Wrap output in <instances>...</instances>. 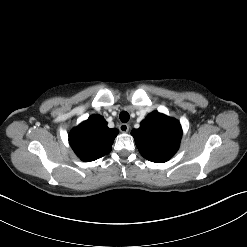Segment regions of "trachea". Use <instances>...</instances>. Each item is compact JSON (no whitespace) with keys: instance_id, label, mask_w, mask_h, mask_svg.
I'll list each match as a JSON object with an SVG mask.
<instances>
[{"instance_id":"obj_1","label":"trachea","mask_w":247,"mask_h":247,"mask_svg":"<svg viewBox=\"0 0 247 247\" xmlns=\"http://www.w3.org/2000/svg\"><path fill=\"white\" fill-rule=\"evenodd\" d=\"M119 118L123 123H126L129 121L130 115L126 111H123L120 113Z\"/></svg>"}]
</instances>
